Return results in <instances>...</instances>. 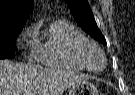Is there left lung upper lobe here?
I'll use <instances>...</instances> for the list:
<instances>
[{
    "label": "left lung upper lobe",
    "instance_id": "obj_1",
    "mask_svg": "<svg viewBox=\"0 0 135 95\" xmlns=\"http://www.w3.org/2000/svg\"><path fill=\"white\" fill-rule=\"evenodd\" d=\"M76 22L82 29L90 34L94 39L102 44H106V40L100 29L97 27L93 13L87 0H65Z\"/></svg>",
    "mask_w": 135,
    "mask_h": 95
}]
</instances>
